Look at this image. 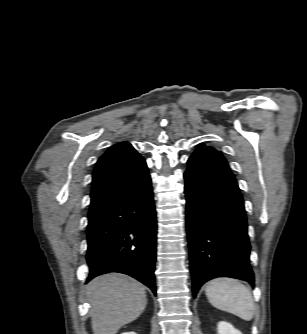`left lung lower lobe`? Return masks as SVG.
Returning <instances> with one entry per match:
<instances>
[{
  "instance_id": "obj_1",
  "label": "left lung lower lobe",
  "mask_w": 307,
  "mask_h": 334,
  "mask_svg": "<svg viewBox=\"0 0 307 334\" xmlns=\"http://www.w3.org/2000/svg\"><path fill=\"white\" fill-rule=\"evenodd\" d=\"M184 179L193 296L216 277L253 285L244 201L233 173L188 163Z\"/></svg>"
}]
</instances>
